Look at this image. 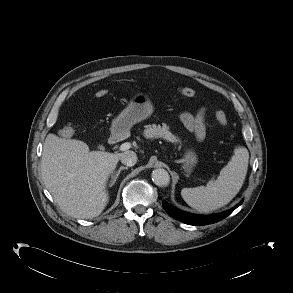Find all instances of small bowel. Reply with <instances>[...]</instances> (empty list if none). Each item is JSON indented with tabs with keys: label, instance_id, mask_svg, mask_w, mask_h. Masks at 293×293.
<instances>
[{
	"label": "small bowel",
	"instance_id": "c3829d8e",
	"mask_svg": "<svg viewBox=\"0 0 293 293\" xmlns=\"http://www.w3.org/2000/svg\"><path fill=\"white\" fill-rule=\"evenodd\" d=\"M205 108L200 109L195 115L184 112L180 119L187 129L192 131L198 140H203L205 137Z\"/></svg>",
	"mask_w": 293,
	"mask_h": 293
}]
</instances>
